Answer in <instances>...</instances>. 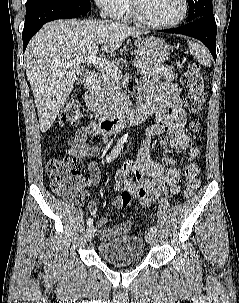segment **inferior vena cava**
Listing matches in <instances>:
<instances>
[{
    "mask_svg": "<svg viewBox=\"0 0 239 303\" xmlns=\"http://www.w3.org/2000/svg\"><path fill=\"white\" fill-rule=\"evenodd\" d=\"M101 17L105 18V15H104V13H101Z\"/></svg>",
    "mask_w": 239,
    "mask_h": 303,
    "instance_id": "602c4592",
    "label": "inferior vena cava"
}]
</instances>
